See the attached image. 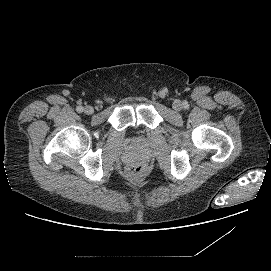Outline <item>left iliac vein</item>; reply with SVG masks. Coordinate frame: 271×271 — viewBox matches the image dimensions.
<instances>
[{"mask_svg":"<svg viewBox=\"0 0 271 271\" xmlns=\"http://www.w3.org/2000/svg\"><path fill=\"white\" fill-rule=\"evenodd\" d=\"M173 108H174L175 110H180V109L182 108L181 102H179V101H174V103H173Z\"/></svg>","mask_w":271,"mask_h":271,"instance_id":"obj_1","label":"left iliac vein"}]
</instances>
